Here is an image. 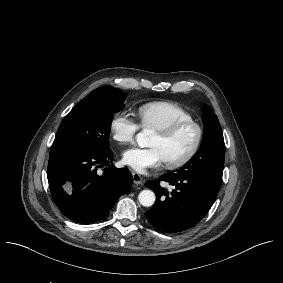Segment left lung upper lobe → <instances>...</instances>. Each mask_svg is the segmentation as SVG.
<instances>
[{
  "label": "left lung upper lobe",
  "mask_w": 283,
  "mask_h": 283,
  "mask_svg": "<svg viewBox=\"0 0 283 283\" xmlns=\"http://www.w3.org/2000/svg\"><path fill=\"white\" fill-rule=\"evenodd\" d=\"M205 125L203 141L197 153L175 173L199 174L206 176L214 185L220 187L224 167L225 145L222 128L215 114L205 105L202 114Z\"/></svg>",
  "instance_id": "5c2ea615"
}]
</instances>
